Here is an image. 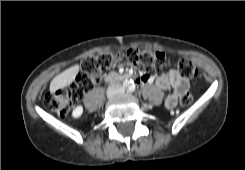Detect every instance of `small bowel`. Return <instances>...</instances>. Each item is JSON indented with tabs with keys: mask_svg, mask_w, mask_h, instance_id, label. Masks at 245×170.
<instances>
[{
	"mask_svg": "<svg viewBox=\"0 0 245 170\" xmlns=\"http://www.w3.org/2000/svg\"><path fill=\"white\" fill-rule=\"evenodd\" d=\"M140 81L145 84L155 83L160 90L171 89L165 100V106L169 110L173 109L180 97L189 90V81L183 78L176 69H170L166 74L160 75L157 78L143 75Z\"/></svg>",
	"mask_w": 245,
	"mask_h": 170,
	"instance_id": "c3829d8e",
	"label": "small bowel"
}]
</instances>
